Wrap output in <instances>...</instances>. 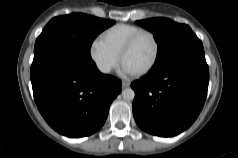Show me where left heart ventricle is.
<instances>
[{"label":"left heart ventricle","mask_w":238,"mask_h":158,"mask_svg":"<svg viewBox=\"0 0 238 158\" xmlns=\"http://www.w3.org/2000/svg\"><path fill=\"white\" fill-rule=\"evenodd\" d=\"M155 44L148 35L142 36L135 46L125 55L123 63L135 72L146 67L153 59Z\"/></svg>","instance_id":"b2bd125f"}]
</instances>
